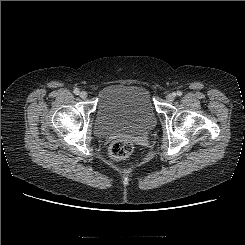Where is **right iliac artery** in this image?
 Returning <instances> with one entry per match:
<instances>
[{
	"label": "right iliac artery",
	"mask_w": 245,
	"mask_h": 245,
	"mask_svg": "<svg viewBox=\"0 0 245 245\" xmlns=\"http://www.w3.org/2000/svg\"><path fill=\"white\" fill-rule=\"evenodd\" d=\"M79 92H80V91H79V89H78V88H75V89H74V94L78 95V94H79Z\"/></svg>",
	"instance_id": "1"
}]
</instances>
